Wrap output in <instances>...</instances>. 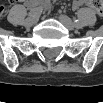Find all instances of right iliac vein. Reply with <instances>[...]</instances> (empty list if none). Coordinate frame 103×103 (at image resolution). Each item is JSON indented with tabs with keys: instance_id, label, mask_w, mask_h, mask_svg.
Wrapping results in <instances>:
<instances>
[{
	"instance_id": "1",
	"label": "right iliac vein",
	"mask_w": 103,
	"mask_h": 103,
	"mask_svg": "<svg viewBox=\"0 0 103 103\" xmlns=\"http://www.w3.org/2000/svg\"><path fill=\"white\" fill-rule=\"evenodd\" d=\"M36 19L34 17H29L27 18L26 22H25V26L26 27H31L35 24Z\"/></svg>"
}]
</instances>
